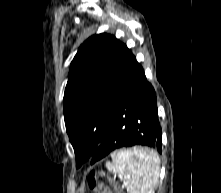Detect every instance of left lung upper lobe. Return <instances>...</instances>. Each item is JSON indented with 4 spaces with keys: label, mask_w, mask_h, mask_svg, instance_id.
Wrapping results in <instances>:
<instances>
[{
    "label": "left lung upper lobe",
    "mask_w": 221,
    "mask_h": 193,
    "mask_svg": "<svg viewBox=\"0 0 221 193\" xmlns=\"http://www.w3.org/2000/svg\"><path fill=\"white\" fill-rule=\"evenodd\" d=\"M134 58L125 44L108 34L90 37L75 55L63 103L77 168L111 129L119 88Z\"/></svg>",
    "instance_id": "5c2ea615"
}]
</instances>
